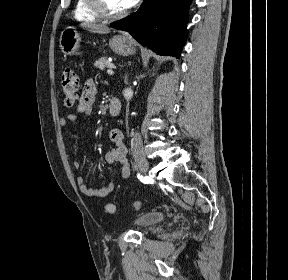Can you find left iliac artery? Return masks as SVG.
Segmentation results:
<instances>
[{"instance_id":"obj_1","label":"left iliac artery","mask_w":288,"mask_h":280,"mask_svg":"<svg viewBox=\"0 0 288 280\" xmlns=\"http://www.w3.org/2000/svg\"><path fill=\"white\" fill-rule=\"evenodd\" d=\"M136 179H138V181H143V174H136Z\"/></svg>"}]
</instances>
